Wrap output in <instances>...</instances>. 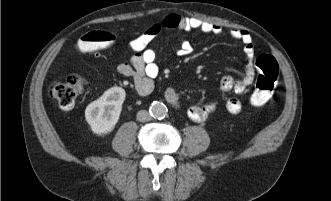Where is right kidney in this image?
<instances>
[{
  "label": "right kidney",
  "instance_id": "obj_1",
  "mask_svg": "<svg viewBox=\"0 0 331 201\" xmlns=\"http://www.w3.org/2000/svg\"><path fill=\"white\" fill-rule=\"evenodd\" d=\"M125 96V90L115 86L86 107L85 118L93 133L108 134L114 129L119 120Z\"/></svg>",
  "mask_w": 331,
  "mask_h": 201
}]
</instances>
